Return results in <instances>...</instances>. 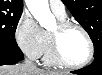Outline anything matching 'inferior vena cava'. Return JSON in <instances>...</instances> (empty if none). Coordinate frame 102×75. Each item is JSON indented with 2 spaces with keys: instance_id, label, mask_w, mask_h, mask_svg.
Here are the masks:
<instances>
[{
  "instance_id": "1",
  "label": "inferior vena cava",
  "mask_w": 102,
  "mask_h": 75,
  "mask_svg": "<svg viewBox=\"0 0 102 75\" xmlns=\"http://www.w3.org/2000/svg\"><path fill=\"white\" fill-rule=\"evenodd\" d=\"M24 65L29 67V68H32V69H37L36 65L33 62H31L30 60H27V59L24 61Z\"/></svg>"
}]
</instances>
